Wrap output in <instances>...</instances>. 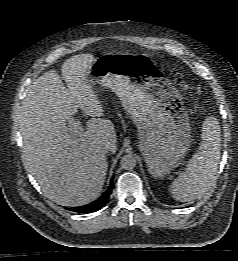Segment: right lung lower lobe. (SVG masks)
<instances>
[{"label":"right lung lower lobe","mask_w":238,"mask_h":261,"mask_svg":"<svg viewBox=\"0 0 238 261\" xmlns=\"http://www.w3.org/2000/svg\"><path fill=\"white\" fill-rule=\"evenodd\" d=\"M112 189H113V183L111 182L108 189L97 200L85 206L78 207L74 211L79 213H83V212L90 213L101 209L109 201Z\"/></svg>","instance_id":"obj_1"}]
</instances>
